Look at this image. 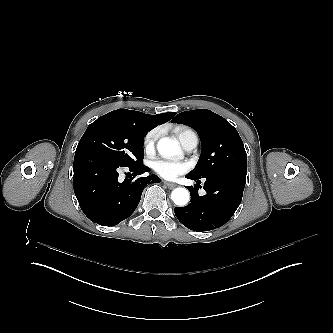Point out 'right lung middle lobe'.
<instances>
[{
	"instance_id": "right-lung-middle-lobe-1",
	"label": "right lung middle lobe",
	"mask_w": 333,
	"mask_h": 333,
	"mask_svg": "<svg viewBox=\"0 0 333 333\" xmlns=\"http://www.w3.org/2000/svg\"><path fill=\"white\" fill-rule=\"evenodd\" d=\"M150 130L129 118L106 114L88 126L76 150H94L120 166H136L142 164L144 137Z\"/></svg>"
}]
</instances>
